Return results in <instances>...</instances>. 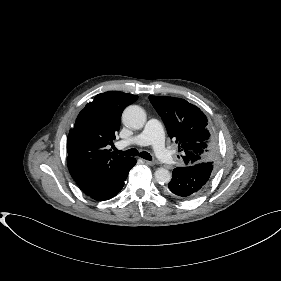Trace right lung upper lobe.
<instances>
[{
  "instance_id": "1",
  "label": "right lung upper lobe",
  "mask_w": 281,
  "mask_h": 281,
  "mask_svg": "<svg viewBox=\"0 0 281 281\" xmlns=\"http://www.w3.org/2000/svg\"><path fill=\"white\" fill-rule=\"evenodd\" d=\"M137 98L118 91L98 94L79 113L74 128L69 131L68 169L85 194L103 189L129 161L130 158L111 154L106 146L115 139L122 111Z\"/></svg>"
}]
</instances>
